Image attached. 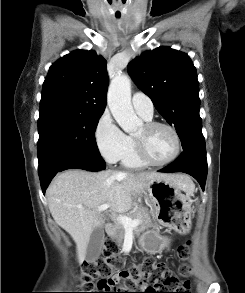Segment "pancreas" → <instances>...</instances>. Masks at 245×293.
I'll return each instance as SVG.
<instances>
[{
  "label": "pancreas",
  "mask_w": 245,
  "mask_h": 293,
  "mask_svg": "<svg viewBox=\"0 0 245 293\" xmlns=\"http://www.w3.org/2000/svg\"><path fill=\"white\" fill-rule=\"evenodd\" d=\"M129 217L131 219H139L140 224L135 228V233H140L143 232L144 230L155 227L153 224L150 213L148 212L147 209H139L136 210L134 213L130 214ZM124 235H125V228L120 222H116L114 229H113V234L112 238L116 240L118 245H121L124 240Z\"/></svg>",
  "instance_id": "pancreas-1"
}]
</instances>
